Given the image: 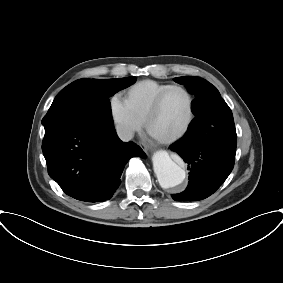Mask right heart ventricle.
Instances as JSON below:
<instances>
[{"label":"right heart ventricle","instance_id":"right-heart-ventricle-1","mask_svg":"<svg viewBox=\"0 0 283 283\" xmlns=\"http://www.w3.org/2000/svg\"><path fill=\"white\" fill-rule=\"evenodd\" d=\"M170 85L151 79L142 80L124 92V100L133 115L143 123L156 97Z\"/></svg>","mask_w":283,"mask_h":283}]
</instances>
